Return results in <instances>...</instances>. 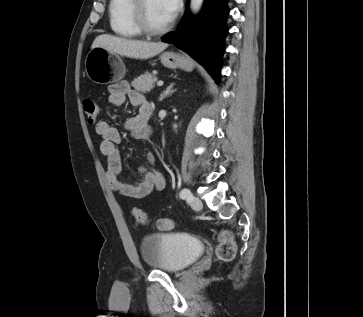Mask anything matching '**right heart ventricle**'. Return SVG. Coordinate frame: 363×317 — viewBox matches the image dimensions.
Segmentation results:
<instances>
[{
	"mask_svg": "<svg viewBox=\"0 0 363 317\" xmlns=\"http://www.w3.org/2000/svg\"><path fill=\"white\" fill-rule=\"evenodd\" d=\"M132 0H110L108 6L109 22L113 33L133 38L141 35L131 18Z\"/></svg>",
	"mask_w": 363,
	"mask_h": 317,
	"instance_id": "1",
	"label": "right heart ventricle"
}]
</instances>
